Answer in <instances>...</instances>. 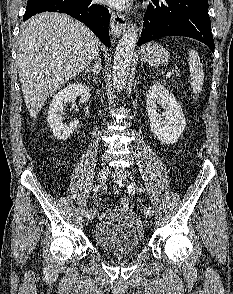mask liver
<instances>
[{
	"label": "liver",
	"mask_w": 233,
	"mask_h": 294,
	"mask_svg": "<svg viewBox=\"0 0 233 294\" xmlns=\"http://www.w3.org/2000/svg\"><path fill=\"white\" fill-rule=\"evenodd\" d=\"M99 49L95 34L68 15L45 12L32 17L21 35L17 56L30 116L36 118L49 95L86 70Z\"/></svg>",
	"instance_id": "6515ba94"
}]
</instances>
